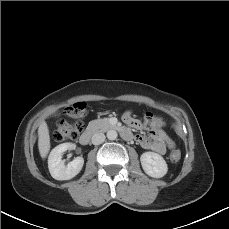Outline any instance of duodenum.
Returning a JSON list of instances; mask_svg holds the SVG:
<instances>
[{
	"instance_id": "410a0bca",
	"label": "duodenum",
	"mask_w": 229,
	"mask_h": 229,
	"mask_svg": "<svg viewBox=\"0 0 229 229\" xmlns=\"http://www.w3.org/2000/svg\"><path fill=\"white\" fill-rule=\"evenodd\" d=\"M112 127L113 128H117L118 126H117V124H113ZM95 133H96L95 128H93V127L87 128L80 135V137H79V143L81 145H88L90 143L92 137L95 135ZM120 134H121L122 138H124V139H127V140L133 139V136H132L131 132L128 129H126V128H122L120 130Z\"/></svg>"
}]
</instances>
